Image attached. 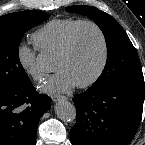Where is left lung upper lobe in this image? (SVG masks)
Instances as JSON below:
<instances>
[{
    "label": "left lung upper lobe",
    "mask_w": 145,
    "mask_h": 145,
    "mask_svg": "<svg viewBox=\"0 0 145 145\" xmlns=\"http://www.w3.org/2000/svg\"><path fill=\"white\" fill-rule=\"evenodd\" d=\"M66 11L90 17L105 36L108 50L107 62L91 89L144 79L136 49L124 29L113 17L92 6L75 5L66 7Z\"/></svg>",
    "instance_id": "1"
}]
</instances>
